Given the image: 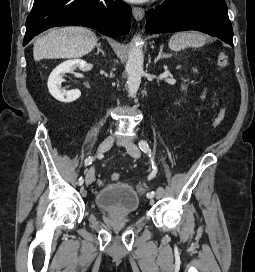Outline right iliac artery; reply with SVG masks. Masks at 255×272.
I'll return each mask as SVG.
<instances>
[{"label":"right iliac artery","instance_id":"obj_1","mask_svg":"<svg viewBox=\"0 0 255 272\" xmlns=\"http://www.w3.org/2000/svg\"><path fill=\"white\" fill-rule=\"evenodd\" d=\"M94 159H95V158H94L93 156H89L88 158H86V160H85V162H84V165H85V166L90 165V164L94 161ZM83 182H84V179H83L82 177H80V178L78 179V184H79V185H82Z\"/></svg>","mask_w":255,"mask_h":272}]
</instances>
